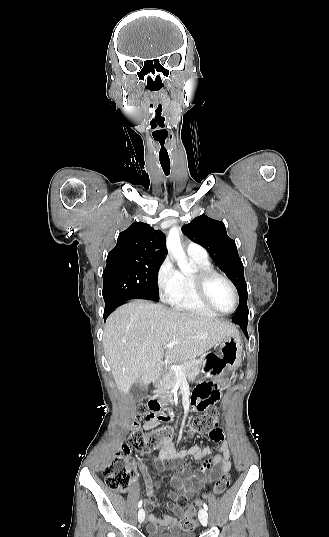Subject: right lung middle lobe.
Segmentation results:
<instances>
[{
	"label": "right lung middle lobe",
	"mask_w": 329,
	"mask_h": 537,
	"mask_svg": "<svg viewBox=\"0 0 329 537\" xmlns=\"http://www.w3.org/2000/svg\"><path fill=\"white\" fill-rule=\"evenodd\" d=\"M162 262L118 265L103 271V298L105 303H120L133 298L159 300L158 271Z\"/></svg>",
	"instance_id": "dd1d6c3e"
}]
</instances>
